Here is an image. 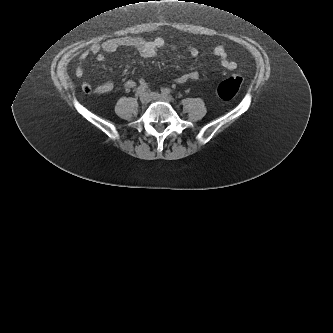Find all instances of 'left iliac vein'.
<instances>
[{
    "label": "left iliac vein",
    "mask_w": 333,
    "mask_h": 333,
    "mask_svg": "<svg viewBox=\"0 0 333 333\" xmlns=\"http://www.w3.org/2000/svg\"><path fill=\"white\" fill-rule=\"evenodd\" d=\"M150 95H151V98L154 100L165 101V102H171L173 100V98L171 96L159 94L156 92H151Z\"/></svg>",
    "instance_id": "4c4485c4"
}]
</instances>
